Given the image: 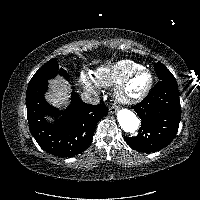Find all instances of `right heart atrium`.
<instances>
[{
    "label": "right heart atrium",
    "mask_w": 200,
    "mask_h": 200,
    "mask_svg": "<svg viewBox=\"0 0 200 200\" xmlns=\"http://www.w3.org/2000/svg\"><path fill=\"white\" fill-rule=\"evenodd\" d=\"M79 79L85 90L94 94L100 93L102 86L98 84V82L90 73L85 71L81 72Z\"/></svg>",
    "instance_id": "obj_1"
}]
</instances>
